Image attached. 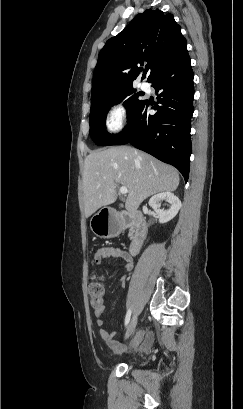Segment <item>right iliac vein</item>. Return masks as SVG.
<instances>
[{"label": "right iliac vein", "mask_w": 243, "mask_h": 409, "mask_svg": "<svg viewBox=\"0 0 243 409\" xmlns=\"http://www.w3.org/2000/svg\"><path fill=\"white\" fill-rule=\"evenodd\" d=\"M136 324H137V315L134 314L132 316V318H131V321H130L128 327H127L126 334H125V337H124L125 340H127L133 334V332H134V330L136 328Z\"/></svg>", "instance_id": "right-iliac-vein-1"}]
</instances>
